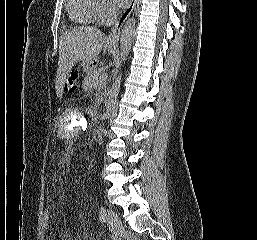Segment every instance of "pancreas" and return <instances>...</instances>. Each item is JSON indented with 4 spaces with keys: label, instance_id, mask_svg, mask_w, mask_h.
I'll list each match as a JSON object with an SVG mask.
<instances>
[{
    "label": "pancreas",
    "instance_id": "pancreas-1",
    "mask_svg": "<svg viewBox=\"0 0 257 240\" xmlns=\"http://www.w3.org/2000/svg\"><path fill=\"white\" fill-rule=\"evenodd\" d=\"M102 71L103 69L88 71L83 82L84 89H91L92 87L100 88L102 86L100 82L102 76L99 77V75Z\"/></svg>",
    "mask_w": 257,
    "mask_h": 240
}]
</instances>
